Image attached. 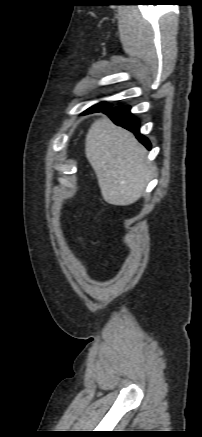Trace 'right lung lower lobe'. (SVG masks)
<instances>
[{
	"label": "right lung lower lobe",
	"mask_w": 202,
	"mask_h": 437,
	"mask_svg": "<svg viewBox=\"0 0 202 437\" xmlns=\"http://www.w3.org/2000/svg\"><path fill=\"white\" fill-rule=\"evenodd\" d=\"M103 110H105L104 113L107 114L116 125L122 126L133 132L143 145H145L149 150L151 149L149 140L139 132L138 119L130 112V106H118L114 108L103 106L95 112Z\"/></svg>",
	"instance_id": "right-lung-lower-lobe-1"
}]
</instances>
